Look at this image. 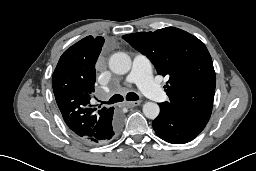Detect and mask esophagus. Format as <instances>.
<instances>
[{
	"label": "esophagus",
	"instance_id": "obj_1",
	"mask_svg": "<svg viewBox=\"0 0 256 171\" xmlns=\"http://www.w3.org/2000/svg\"><path fill=\"white\" fill-rule=\"evenodd\" d=\"M140 103L141 101H132V102H125V105L128 108H132V107L138 106Z\"/></svg>",
	"mask_w": 256,
	"mask_h": 171
}]
</instances>
